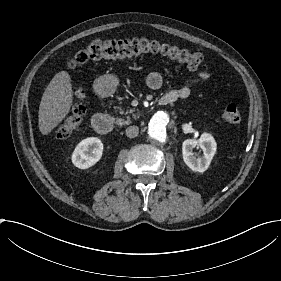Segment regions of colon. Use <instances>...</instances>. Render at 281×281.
<instances>
[{
    "instance_id": "5ec220e1",
    "label": "colon",
    "mask_w": 281,
    "mask_h": 281,
    "mask_svg": "<svg viewBox=\"0 0 281 281\" xmlns=\"http://www.w3.org/2000/svg\"><path fill=\"white\" fill-rule=\"evenodd\" d=\"M146 54L158 55L173 61L185 62L199 70H203L206 67V61L202 55L158 41L128 39L93 42L79 50L67 62V71L75 93V103L72 111L66 118V122L57 128L55 135L58 138L67 137L81 116L85 89L74 76V71L78 66L102 59L124 58ZM221 116L225 122L231 125H239L241 123V115L236 106L232 103H227L222 106Z\"/></svg>"
}]
</instances>
